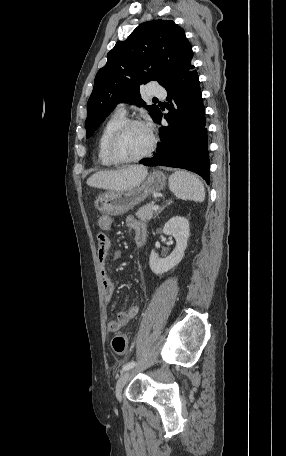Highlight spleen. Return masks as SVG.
Segmentation results:
<instances>
[{
    "label": "spleen",
    "mask_w": 286,
    "mask_h": 456,
    "mask_svg": "<svg viewBox=\"0 0 286 456\" xmlns=\"http://www.w3.org/2000/svg\"><path fill=\"white\" fill-rule=\"evenodd\" d=\"M169 188L174 195L182 200L203 202L205 188L202 181L194 174L179 170L169 178Z\"/></svg>",
    "instance_id": "spleen-1"
}]
</instances>
